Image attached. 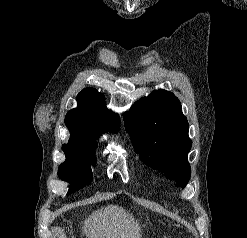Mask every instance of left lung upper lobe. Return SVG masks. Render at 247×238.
Instances as JSON below:
<instances>
[{"instance_id":"1","label":"left lung upper lobe","mask_w":247,"mask_h":238,"mask_svg":"<svg viewBox=\"0 0 247 238\" xmlns=\"http://www.w3.org/2000/svg\"><path fill=\"white\" fill-rule=\"evenodd\" d=\"M124 122L140 159L184 188L190 179L187 154L192 142L178 98L166 90L153 91L124 114Z\"/></svg>"}]
</instances>
